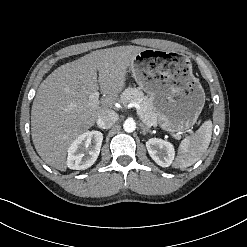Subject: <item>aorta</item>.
<instances>
[{
    "label": "aorta",
    "instance_id": "1",
    "mask_svg": "<svg viewBox=\"0 0 247 247\" xmlns=\"http://www.w3.org/2000/svg\"><path fill=\"white\" fill-rule=\"evenodd\" d=\"M123 129L126 132L131 133L136 129V124L133 120H126L123 124Z\"/></svg>",
    "mask_w": 247,
    "mask_h": 247
}]
</instances>
